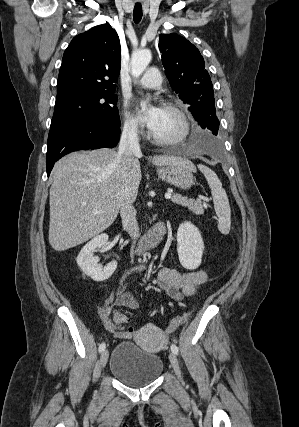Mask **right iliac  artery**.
I'll return each mask as SVG.
<instances>
[{
  "label": "right iliac artery",
  "mask_w": 299,
  "mask_h": 427,
  "mask_svg": "<svg viewBox=\"0 0 299 427\" xmlns=\"http://www.w3.org/2000/svg\"><path fill=\"white\" fill-rule=\"evenodd\" d=\"M134 269H131L130 271H128L126 274H129L131 271H133ZM126 276V275H125ZM125 276L123 277V279L125 278ZM123 279H122V281L121 282H123ZM105 347H106V345H105V343H101L100 345H99V352H102V351H104V349H105Z\"/></svg>",
  "instance_id": "1"
}]
</instances>
